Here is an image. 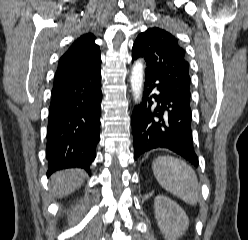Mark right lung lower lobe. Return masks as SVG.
Listing matches in <instances>:
<instances>
[{"instance_id": "obj_1", "label": "right lung lower lobe", "mask_w": 248, "mask_h": 240, "mask_svg": "<svg viewBox=\"0 0 248 240\" xmlns=\"http://www.w3.org/2000/svg\"><path fill=\"white\" fill-rule=\"evenodd\" d=\"M101 73L53 87L47 128L48 175L78 167L90 172L100 140Z\"/></svg>"}]
</instances>
